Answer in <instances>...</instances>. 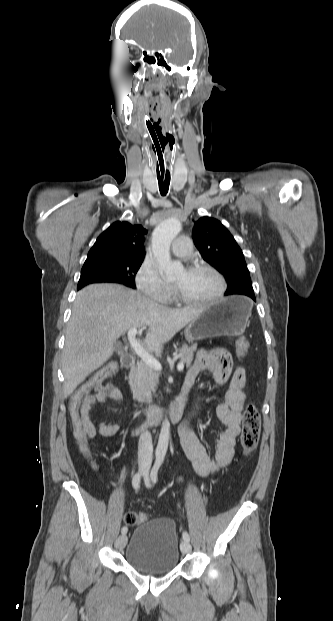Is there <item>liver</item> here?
Segmentation results:
<instances>
[{"label":"liver","instance_id":"6515ba94","mask_svg":"<svg viewBox=\"0 0 333 621\" xmlns=\"http://www.w3.org/2000/svg\"><path fill=\"white\" fill-rule=\"evenodd\" d=\"M204 307L168 308L117 284L83 288L73 303L62 352L64 396L72 394L113 355L114 344L124 332L148 326L144 343L153 351H161L177 332L199 317Z\"/></svg>","mask_w":333,"mask_h":621}]
</instances>
